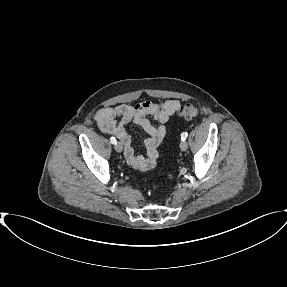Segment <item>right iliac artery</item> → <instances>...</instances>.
Masks as SVG:
<instances>
[{
    "label": "right iliac artery",
    "mask_w": 287,
    "mask_h": 287,
    "mask_svg": "<svg viewBox=\"0 0 287 287\" xmlns=\"http://www.w3.org/2000/svg\"><path fill=\"white\" fill-rule=\"evenodd\" d=\"M110 141H111L112 144H115V145L117 144V140H116L115 137H111Z\"/></svg>",
    "instance_id": "obj_1"
}]
</instances>
